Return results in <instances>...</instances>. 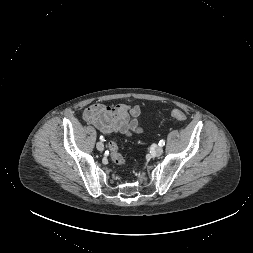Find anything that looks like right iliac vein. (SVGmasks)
<instances>
[{"instance_id": "63e3f726", "label": "right iliac vein", "mask_w": 253, "mask_h": 253, "mask_svg": "<svg viewBox=\"0 0 253 253\" xmlns=\"http://www.w3.org/2000/svg\"><path fill=\"white\" fill-rule=\"evenodd\" d=\"M96 147H97V149H98L99 151H103V150H104V145H103L102 142H98V143L96 144Z\"/></svg>"}]
</instances>
